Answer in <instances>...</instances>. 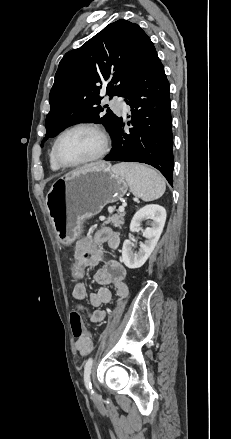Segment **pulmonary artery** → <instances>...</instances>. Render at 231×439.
Instances as JSON below:
<instances>
[{"label":"pulmonary artery","instance_id":"obj_1","mask_svg":"<svg viewBox=\"0 0 231 439\" xmlns=\"http://www.w3.org/2000/svg\"><path fill=\"white\" fill-rule=\"evenodd\" d=\"M113 108L116 113L121 114L124 111H127L129 109V106L125 102L124 98L117 97L113 100Z\"/></svg>","mask_w":231,"mask_h":439}]
</instances>
